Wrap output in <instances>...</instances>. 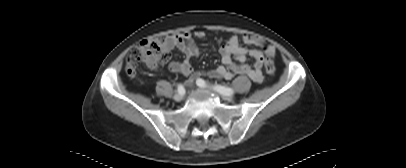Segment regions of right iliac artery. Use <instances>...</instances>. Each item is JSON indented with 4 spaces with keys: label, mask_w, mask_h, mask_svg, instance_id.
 Listing matches in <instances>:
<instances>
[{
    "label": "right iliac artery",
    "mask_w": 406,
    "mask_h": 168,
    "mask_svg": "<svg viewBox=\"0 0 406 168\" xmlns=\"http://www.w3.org/2000/svg\"><path fill=\"white\" fill-rule=\"evenodd\" d=\"M178 92L180 93V94H184V92H185V89H184V87H183V85H181V84H179L178 85Z\"/></svg>",
    "instance_id": "1"
}]
</instances>
